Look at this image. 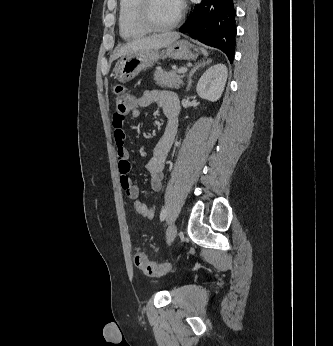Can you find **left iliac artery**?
I'll return each mask as SVG.
<instances>
[{
    "label": "left iliac artery",
    "instance_id": "44dca946",
    "mask_svg": "<svg viewBox=\"0 0 333 346\" xmlns=\"http://www.w3.org/2000/svg\"><path fill=\"white\" fill-rule=\"evenodd\" d=\"M166 215H167V209L166 208H163L161 210V213H160V220L161 221H164V219L166 218Z\"/></svg>",
    "mask_w": 333,
    "mask_h": 346
}]
</instances>
